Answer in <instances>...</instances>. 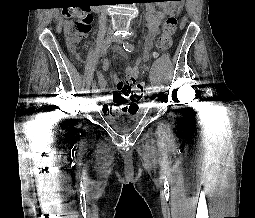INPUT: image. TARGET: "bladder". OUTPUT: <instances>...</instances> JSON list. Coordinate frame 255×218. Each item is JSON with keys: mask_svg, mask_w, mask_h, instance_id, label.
<instances>
[{"mask_svg": "<svg viewBox=\"0 0 255 218\" xmlns=\"http://www.w3.org/2000/svg\"><path fill=\"white\" fill-rule=\"evenodd\" d=\"M108 120L117 132H128L138 122V115L135 112H119L107 115Z\"/></svg>", "mask_w": 255, "mask_h": 218, "instance_id": "31cf9c89", "label": "bladder"}]
</instances>
